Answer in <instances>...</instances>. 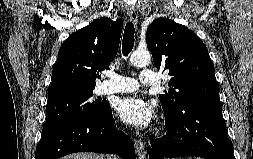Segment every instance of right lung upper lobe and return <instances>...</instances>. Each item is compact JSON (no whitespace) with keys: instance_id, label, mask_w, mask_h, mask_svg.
<instances>
[{"instance_id":"cb5924a9","label":"right lung upper lobe","mask_w":253,"mask_h":159,"mask_svg":"<svg viewBox=\"0 0 253 159\" xmlns=\"http://www.w3.org/2000/svg\"><path fill=\"white\" fill-rule=\"evenodd\" d=\"M123 22L98 19L71 34L61 45L52 72L48 99L93 91L99 72L117 54Z\"/></svg>"}]
</instances>
